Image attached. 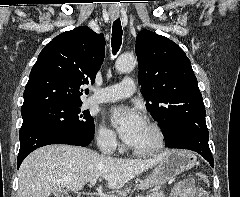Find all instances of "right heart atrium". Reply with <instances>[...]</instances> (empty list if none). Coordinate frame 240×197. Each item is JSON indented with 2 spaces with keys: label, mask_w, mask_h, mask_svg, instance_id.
Returning <instances> with one entry per match:
<instances>
[{
  "label": "right heart atrium",
  "mask_w": 240,
  "mask_h": 197,
  "mask_svg": "<svg viewBox=\"0 0 240 197\" xmlns=\"http://www.w3.org/2000/svg\"><path fill=\"white\" fill-rule=\"evenodd\" d=\"M96 140L98 146L108 153L114 152L119 146L116 134L106 126L99 128Z\"/></svg>",
  "instance_id": "1"
}]
</instances>
